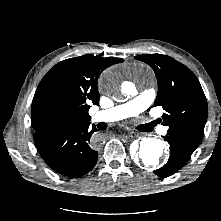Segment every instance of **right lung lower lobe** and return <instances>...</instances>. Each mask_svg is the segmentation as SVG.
Wrapping results in <instances>:
<instances>
[{"label": "right lung lower lobe", "mask_w": 221, "mask_h": 221, "mask_svg": "<svg viewBox=\"0 0 221 221\" xmlns=\"http://www.w3.org/2000/svg\"><path fill=\"white\" fill-rule=\"evenodd\" d=\"M90 122L58 125L34 133L36 147L55 172L67 177H80L96 165L95 126Z\"/></svg>", "instance_id": "98d812e1"}]
</instances>
